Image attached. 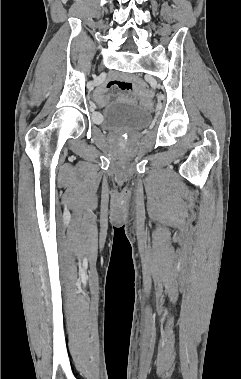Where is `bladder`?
<instances>
[{
	"instance_id": "31cf9c89",
	"label": "bladder",
	"mask_w": 241,
	"mask_h": 379,
	"mask_svg": "<svg viewBox=\"0 0 241 379\" xmlns=\"http://www.w3.org/2000/svg\"><path fill=\"white\" fill-rule=\"evenodd\" d=\"M151 122L148 110L131 103H116L102 114L100 125L114 132H136Z\"/></svg>"
}]
</instances>
